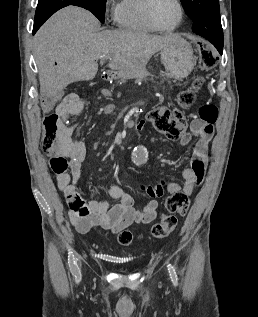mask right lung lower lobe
<instances>
[{"mask_svg": "<svg viewBox=\"0 0 258 317\" xmlns=\"http://www.w3.org/2000/svg\"><path fill=\"white\" fill-rule=\"evenodd\" d=\"M68 5L79 6L91 11L89 0H39L35 13L33 35L52 14Z\"/></svg>", "mask_w": 258, "mask_h": 317, "instance_id": "1", "label": "right lung lower lobe"}]
</instances>
